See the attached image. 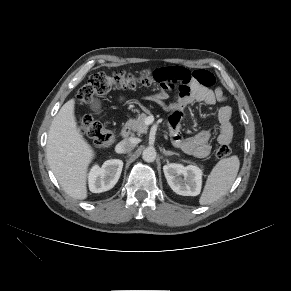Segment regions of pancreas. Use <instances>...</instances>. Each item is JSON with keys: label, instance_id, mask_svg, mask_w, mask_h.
Wrapping results in <instances>:
<instances>
[{"label": "pancreas", "instance_id": "1", "mask_svg": "<svg viewBox=\"0 0 291 291\" xmlns=\"http://www.w3.org/2000/svg\"><path fill=\"white\" fill-rule=\"evenodd\" d=\"M147 118V115L145 113H142L138 116L137 119H133L129 122L130 128L137 132V134H143L146 133L148 130V126L145 124V120Z\"/></svg>", "mask_w": 291, "mask_h": 291}]
</instances>
